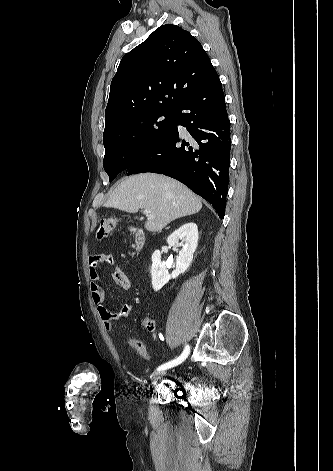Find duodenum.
<instances>
[{"mask_svg":"<svg viewBox=\"0 0 333 471\" xmlns=\"http://www.w3.org/2000/svg\"><path fill=\"white\" fill-rule=\"evenodd\" d=\"M145 238L141 231H138L135 235V243L138 250H141L144 246Z\"/></svg>","mask_w":333,"mask_h":471,"instance_id":"1","label":"duodenum"}]
</instances>
